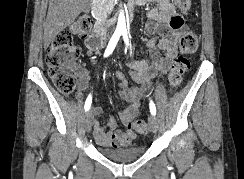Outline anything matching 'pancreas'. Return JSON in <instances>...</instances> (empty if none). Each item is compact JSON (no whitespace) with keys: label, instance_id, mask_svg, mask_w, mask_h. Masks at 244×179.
<instances>
[{"label":"pancreas","instance_id":"pancreas-1","mask_svg":"<svg viewBox=\"0 0 244 179\" xmlns=\"http://www.w3.org/2000/svg\"><path fill=\"white\" fill-rule=\"evenodd\" d=\"M109 8L108 6H105V12H108Z\"/></svg>","mask_w":244,"mask_h":179}]
</instances>
